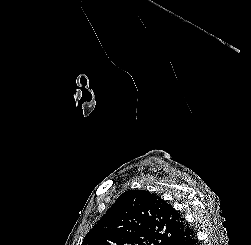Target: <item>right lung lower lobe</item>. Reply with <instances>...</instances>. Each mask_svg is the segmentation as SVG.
<instances>
[{
  "label": "right lung lower lobe",
  "instance_id": "98d812e1",
  "mask_svg": "<svg viewBox=\"0 0 251 245\" xmlns=\"http://www.w3.org/2000/svg\"><path fill=\"white\" fill-rule=\"evenodd\" d=\"M167 245H197V238L194 231L189 227L180 237L171 240Z\"/></svg>",
  "mask_w": 251,
  "mask_h": 245
}]
</instances>
